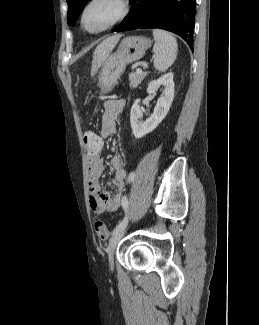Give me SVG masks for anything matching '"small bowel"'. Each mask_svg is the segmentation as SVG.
Here are the masks:
<instances>
[{"mask_svg":"<svg viewBox=\"0 0 259 325\" xmlns=\"http://www.w3.org/2000/svg\"><path fill=\"white\" fill-rule=\"evenodd\" d=\"M125 101L123 99H109L104 104V111L101 119L100 134L97 138L104 139L116 132L117 119L123 108ZM102 149L86 150L87 167H88V187L89 203L94 214L100 215L106 211H116L122 204L123 194L125 192L127 170L124 160L120 155L111 158V166L114 170L112 184L116 191L113 194L101 189L99 178L103 174L104 165L101 158Z\"/></svg>","mask_w":259,"mask_h":325,"instance_id":"c3829d8e","label":"small bowel"}]
</instances>
